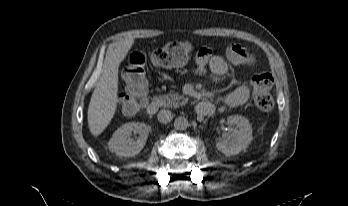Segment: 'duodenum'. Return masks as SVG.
<instances>
[{
    "label": "duodenum",
    "instance_id": "1",
    "mask_svg": "<svg viewBox=\"0 0 348 206\" xmlns=\"http://www.w3.org/2000/svg\"><path fill=\"white\" fill-rule=\"evenodd\" d=\"M162 105V101L158 98L154 99L148 106L147 108V113L149 115H155L157 113V111L159 110V108ZM197 113L201 116H209L213 113L214 108L212 106L211 103L209 102H201L198 106H197Z\"/></svg>",
    "mask_w": 348,
    "mask_h": 206
}]
</instances>
